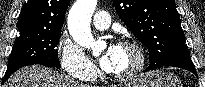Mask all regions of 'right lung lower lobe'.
I'll return each mask as SVG.
<instances>
[{
    "instance_id": "right-lung-lower-lobe-1",
    "label": "right lung lower lobe",
    "mask_w": 205,
    "mask_h": 87,
    "mask_svg": "<svg viewBox=\"0 0 205 87\" xmlns=\"http://www.w3.org/2000/svg\"><path fill=\"white\" fill-rule=\"evenodd\" d=\"M34 63H31V62H15V63H11V64H8V67H7V70H6V73L4 75V78L2 80V84L9 78V76L11 74H13L17 69L21 68V67H24V66H27V65H33Z\"/></svg>"
}]
</instances>
